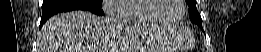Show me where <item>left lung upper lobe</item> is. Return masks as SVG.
I'll return each mask as SVG.
<instances>
[{"label": "left lung upper lobe", "mask_w": 261, "mask_h": 52, "mask_svg": "<svg viewBox=\"0 0 261 52\" xmlns=\"http://www.w3.org/2000/svg\"><path fill=\"white\" fill-rule=\"evenodd\" d=\"M189 6V17L191 22L202 27V19L196 8V0H186Z\"/></svg>", "instance_id": "5c2ea615"}]
</instances>
